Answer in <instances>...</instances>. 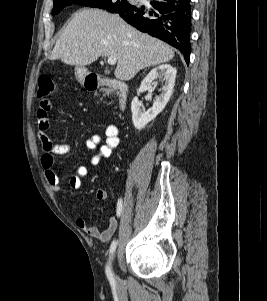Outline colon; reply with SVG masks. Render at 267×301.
I'll list each match as a JSON object with an SVG mask.
<instances>
[{
	"label": "colon",
	"instance_id": "colon-1",
	"mask_svg": "<svg viewBox=\"0 0 267 301\" xmlns=\"http://www.w3.org/2000/svg\"><path fill=\"white\" fill-rule=\"evenodd\" d=\"M54 92V83L49 76L42 75L38 79L37 95L39 98H48Z\"/></svg>",
	"mask_w": 267,
	"mask_h": 301
}]
</instances>
